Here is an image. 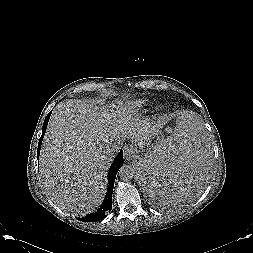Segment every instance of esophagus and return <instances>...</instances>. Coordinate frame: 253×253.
<instances>
[{
    "instance_id": "esophagus-1",
    "label": "esophagus",
    "mask_w": 253,
    "mask_h": 253,
    "mask_svg": "<svg viewBox=\"0 0 253 253\" xmlns=\"http://www.w3.org/2000/svg\"><path fill=\"white\" fill-rule=\"evenodd\" d=\"M135 147L133 145H126L124 147V157L126 160H132L135 155Z\"/></svg>"
}]
</instances>
